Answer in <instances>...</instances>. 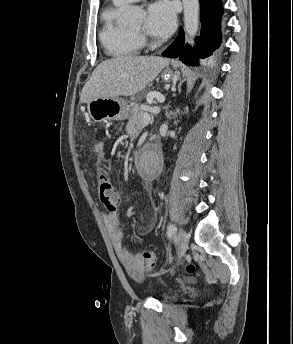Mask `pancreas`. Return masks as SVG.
<instances>
[{"instance_id":"obj_1","label":"pancreas","mask_w":293,"mask_h":344,"mask_svg":"<svg viewBox=\"0 0 293 344\" xmlns=\"http://www.w3.org/2000/svg\"><path fill=\"white\" fill-rule=\"evenodd\" d=\"M144 110L138 104L132 106L131 109V116L129 117V124L130 125H137L138 130L143 126V115Z\"/></svg>"}]
</instances>
